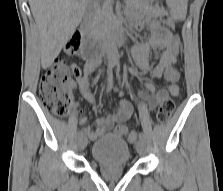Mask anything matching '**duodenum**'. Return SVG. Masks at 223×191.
I'll return each mask as SVG.
<instances>
[{"mask_svg":"<svg viewBox=\"0 0 223 191\" xmlns=\"http://www.w3.org/2000/svg\"><path fill=\"white\" fill-rule=\"evenodd\" d=\"M124 41V30L121 27L114 29L112 38H96L92 39L85 47L83 55L89 62H96L101 54L111 51L113 46H120Z\"/></svg>","mask_w":223,"mask_h":191,"instance_id":"duodenum-1","label":"duodenum"}]
</instances>
